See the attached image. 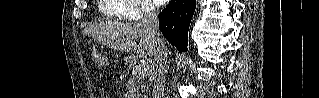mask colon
<instances>
[{"mask_svg":"<svg viewBox=\"0 0 319 98\" xmlns=\"http://www.w3.org/2000/svg\"><path fill=\"white\" fill-rule=\"evenodd\" d=\"M89 56L91 61L99 66V67H103L106 65V58L104 57V55L101 53L100 50H98L97 48L90 46L89 47Z\"/></svg>","mask_w":319,"mask_h":98,"instance_id":"colon-1","label":"colon"}]
</instances>
